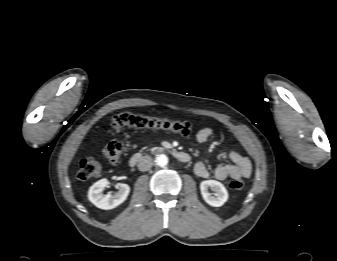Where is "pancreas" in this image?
I'll list each match as a JSON object with an SVG mask.
<instances>
[{"mask_svg": "<svg viewBox=\"0 0 337 261\" xmlns=\"http://www.w3.org/2000/svg\"><path fill=\"white\" fill-rule=\"evenodd\" d=\"M150 150H151L152 152H155V151H163V148H161V147H152Z\"/></svg>", "mask_w": 337, "mask_h": 261, "instance_id": "obj_1", "label": "pancreas"}]
</instances>
